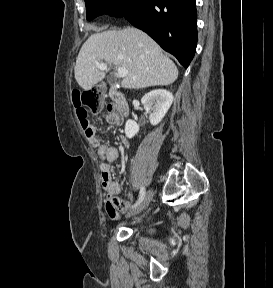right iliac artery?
<instances>
[{
    "mask_svg": "<svg viewBox=\"0 0 273 288\" xmlns=\"http://www.w3.org/2000/svg\"><path fill=\"white\" fill-rule=\"evenodd\" d=\"M145 188L144 187H141L140 189V193H139V199L138 201L132 206V208L136 207L138 204H140L142 202V200L144 199L145 197Z\"/></svg>",
    "mask_w": 273,
    "mask_h": 288,
    "instance_id": "obj_1",
    "label": "right iliac artery"
}]
</instances>
